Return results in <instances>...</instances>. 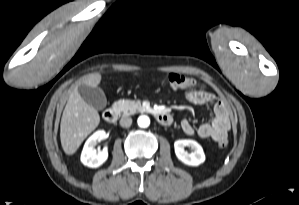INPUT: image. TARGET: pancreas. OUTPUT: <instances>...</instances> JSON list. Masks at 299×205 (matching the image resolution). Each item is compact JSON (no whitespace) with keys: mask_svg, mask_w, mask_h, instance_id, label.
I'll use <instances>...</instances> for the list:
<instances>
[{"mask_svg":"<svg viewBox=\"0 0 299 205\" xmlns=\"http://www.w3.org/2000/svg\"><path fill=\"white\" fill-rule=\"evenodd\" d=\"M113 107L122 112L123 115H133L138 112H145V109L138 102L132 100H120L114 103Z\"/></svg>","mask_w":299,"mask_h":205,"instance_id":"pancreas-1","label":"pancreas"}]
</instances>
